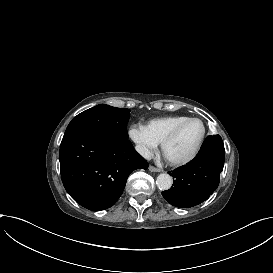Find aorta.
<instances>
[{"label": "aorta", "mask_w": 273, "mask_h": 273, "mask_svg": "<svg viewBox=\"0 0 273 273\" xmlns=\"http://www.w3.org/2000/svg\"><path fill=\"white\" fill-rule=\"evenodd\" d=\"M173 184L172 177L167 173H161L157 176L156 185L160 190H169Z\"/></svg>", "instance_id": "762f6f07"}]
</instances>
